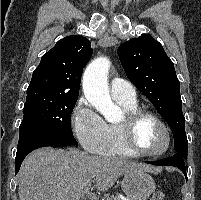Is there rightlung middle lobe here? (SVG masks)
Returning <instances> with one entry per match:
<instances>
[{"label":"right lung middle lobe","instance_id":"right-lung-middle-lobe-1","mask_svg":"<svg viewBox=\"0 0 201 200\" xmlns=\"http://www.w3.org/2000/svg\"><path fill=\"white\" fill-rule=\"evenodd\" d=\"M78 97L50 92L27 93L19 132L32 128L50 129L73 136L71 114Z\"/></svg>","mask_w":201,"mask_h":200}]
</instances>
